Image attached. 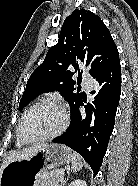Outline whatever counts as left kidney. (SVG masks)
<instances>
[{
    "instance_id": "1",
    "label": "left kidney",
    "mask_w": 138,
    "mask_h": 186,
    "mask_svg": "<svg viewBox=\"0 0 138 186\" xmlns=\"http://www.w3.org/2000/svg\"><path fill=\"white\" fill-rule=\"evenodd\" d=\"M69 186H87V183L84 180L76 179Z\"/></svg>"
}]
</instances>
